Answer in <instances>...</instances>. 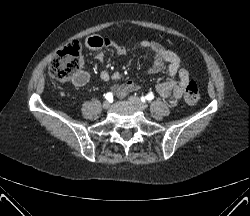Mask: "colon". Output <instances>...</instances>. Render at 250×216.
I'll return each mask as SVG.
<instances>
[{
	"label": "colon",
	"mask_w": 250,
	"mask_h": 216,
	"mask_svg": "<svg viewBox=\"0 0 250 216\" xmlns=\"http://www.w3.org/2000/svg\"><path fill=\"white\" fill-rule=\"evenodd\" d=\"M83 66L80 47L77 44L60 49L49 65L50 77L59 82L70 80ZM200 98L196 82L190 81L185 89L184 100L188 104H195Z\"/></svg>",
	"instance_id": "1"
}]
</instances>
